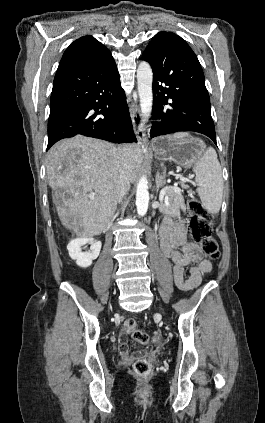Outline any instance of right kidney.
Here are the masks:
<instances>
[{
  "label": "right kidney",
  "mask_w": 265,
  "mask_h": 423,
  "mask_svg": "<svg viewBox=\"0 0 265 423\" xmlns=\"http://www.w3.org/2000/svg\"><path fill=\"white\" fill-rule=\"evenodd\" d=\"M86 244H90V251L82 252V247ZM101 242L95 241L92 237L76 238L67 246L69 256L71 259L76 261V264L82 268L89 267L92 261L95 260L101 250Z\"/></svg>",
  "instance_id": "1"
}]
</instances>
